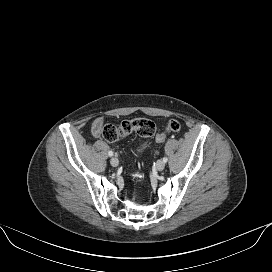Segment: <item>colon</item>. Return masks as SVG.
<instances>
[{"mask_svg":"<svg viewBox=\"0 0 272 272\" xmlns=\"http://www.w3.org/2000/svg\"><path fill=\"white\" fill-rule=\"evenodd\" d=\"M181 129V124L176 119L168 121L164 132L156 133V126L153 121L147 118H135L124 120L118 126L107 124L102 129V136L108 142H116L131 133H136L143 138L155 137L156 141L163 142L169 133L177 132ZM146 143L142 144L141 150L146 147Z\"/></svg>","mask_w":272,"mask_h":272,"instance_id":"5ec220e1","label":"colon"}]
</instances>
